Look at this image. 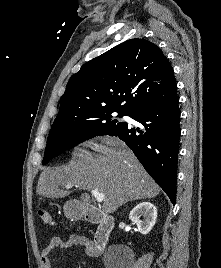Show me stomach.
I'll return each instance as SVG.
<instances>
[{
    "mask_svg": "<svg viewBox=\"0 0 221 268\" xmlns=\"http://www.w3.org/2000/svg\"><path fill=\"white\" fill-rule=\"evenodd\" d=\"M64 214L70 219H81L86 212L85 206L76 201H68L64 204Z\"/></svg>",
    "mask_w": 221,
    "mask_h": 268,
    "instance_id": "obj_1",
    "label": "stomach"
}]
</instances>
